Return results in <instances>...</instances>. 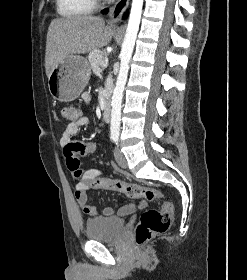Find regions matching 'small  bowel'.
Segmentation results:
<instances>
[{
	"label": "small bowel",
	"mask_w": 247,
	"mask_h": 280,
	"mask_svg": "<svg viewBox=\"0 0 247 280\" xmlns=\"http://www.w3.org/2000/svg\"><path fill=\"white\" fill-rule=\"evenodd\" d=\"M89 96L85 95V99H88ZM89 124V118L86 115H81L78 120L75 123L68 124L65 128L60 143L65 149V147L73 141V137L80 131V129L84 126H87ZM95 176H102L101 172L98 170H89L85 172L84 176L77 182L76 184V191H75V197L76 200L81 208V211L88 216H96L98 214V210L91 206L88 203V191L82 186V181L84 178L89 177H95ZM98 189V188H94ZM145 202H140L137 206L135 204H126L119 210V215H127L132 213L137 207L143 208L145 207ZM103 215L104 216H112L114 211L111 207H106L103 209Z\"/></svg>",
	"instance_id": "small-bowel-1"
}]
</instances>
